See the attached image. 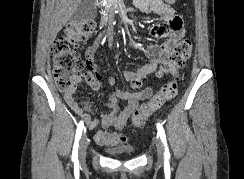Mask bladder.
Here are the masks:
<instances>
[{"instance_id": "bladder-1", "label": "bladder", "mask_w": 244, "mask_h": 179, "mask_svg": "<svg viewBox=\"0 0 244 179\" xmlns=\"http://www.w3.org/2000/svg\"><path fill=\"white\" fill-rule=\"evenodd\" d=\"M107 155L120 156V157H130L134 153L133 149L126 148H105Z\"/></svg>"}]
</instances>
